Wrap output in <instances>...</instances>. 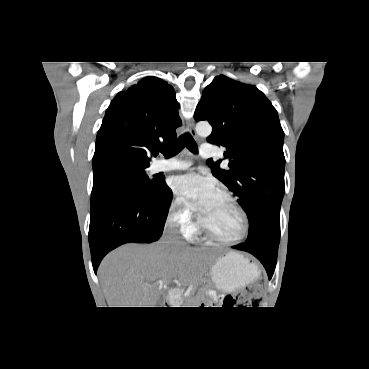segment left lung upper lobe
I'll return each instance as SVG.
<instances>
[{
  "label": "left lung upper lobe",
  "mask_w": 369,
  "mask_h": 369,
  "mask_svg": "<svg viewBox=\"0 0 369 369\" xmlns=\"http://www.w3.org/2000/svg\"><path fill=\"white\" fill-rule=\"evenodd\" d=\"M194 118L209 121L207 141L226 149L228 169L219 168L222 160L208 164L247 214L246 242H279L284 132L272 103L255 86L219 75L204 89Z\"/></svg>",
  "instance_id": "5c2ea615"
}]
</instances>
